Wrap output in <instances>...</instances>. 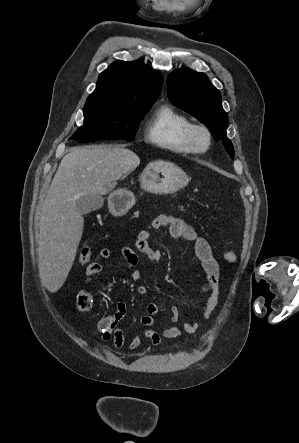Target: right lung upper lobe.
Instances as JSON below:
<instances>
[{"mask_svg":"<svg viewBox=\"0 0 299 443\" xmlns=\"http://www.w3.org/2000/svg\"><path fill=\"white\" fill-rule=\"evenodd\" d=\"M162 84L161 73L141 62L115 61L100 74L96 89L88 98L154 103Z\"/></svg>","mask_w":299,"mask_h":443,"instance_id":"cb5924a9","label":"right lung upper lobe"}]
</instances>
